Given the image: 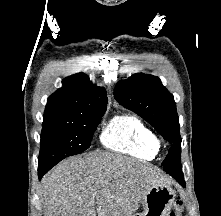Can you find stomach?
Segmentation results:
<instances>
[{
    "label": "stomach",
    "instance_id": "stomach-1",
    "mask_svg": "<svg viewBox=\"0 0 221 216\" xmlns=\"http://www.w3.org/2000/svg\"><path fill=\"white\" fill-rule=\"evenodd\" d=\"M175 191L166 184L152 186L143 196V211L133 216H169Z\"/></svg>",
    "mask_w": 221,
    "mask_h": 216
}]
</instances>
